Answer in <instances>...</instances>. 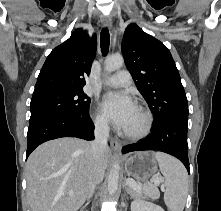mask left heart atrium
Instances as JSON below:
<instances>
[{"mask_svg":"<svg viewBox=\"0 0 221 211\" xmlns=\"http://www.w3.org/2000/svg\"><path fill=\"white\" fill-rule=\"evenodd\" d=\"M135 108L131 97L124 92H109L101 101L104 114L120 129L125 128Z\"/></svg>","mask_w":221,"mask_h":211,"instance_id":"obj_1","label":"left heart atrium"}]
</instances>
